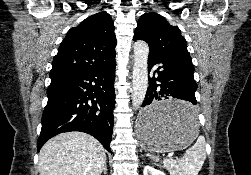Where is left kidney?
Returning a JSON list of instances; mask_svg holds the SVG:
<instances>
[{
  "instance_id": "5707ae66",
  "label": "left kidney",
  "mask_w": 251,
  "mask_h": 175,
  "mask_svg": "<svg viewBox=\"0 0 251 175\" xmlns=\"http://www.w3.org/2000/svg\"><path fill=\"white\" fill-rule=\"evenodd\" d=\"M143 175H165V173L164 171H160V169L151 167V165H145L143 169Z\"/></svg>"
}]
</instances>
